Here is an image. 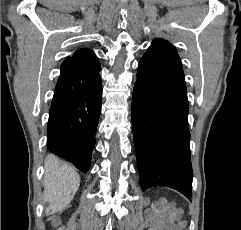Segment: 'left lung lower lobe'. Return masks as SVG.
Wrapping results in <instances>:
<instances>
[{
	"label": "left lung lower lobe",
	"mask_w": 241,
	"mask_h": 230,
	"mask_svg": "<svg viewBox=\"0 0 241 230\" xmlns=\"http://www.w3.org/2000/svg\"><path fill=\"white\" fill-rule=\"evenodd\" d=\"M188 99L183 69L144 54L132 96L140 186H167L192 197Z\"/></svg>",
	"instance_id": "0a47b994"
}]
</instances>
